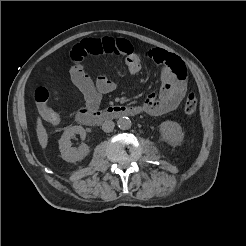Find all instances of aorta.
I'll use <instances>...</instances> for the list:
<instances>
[{
	"instance_id": "obj_1",
	"label": "aorta",
	"mask_w": 246,
	"mask_h": 246,
	"mask_svg": "<svg viewBox=\"0 0 246 246\" xmlns=\"http://www.w3.org/2000/svg\"><path fill=\"white\" fill-rule=\"evenodd\" d=\"M117 125L121 130H128L131 127V120L128 117H120Z\"/></svg>"
}]
</instances>
